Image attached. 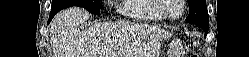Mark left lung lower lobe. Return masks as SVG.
<instances>
[{
    "label": "left lung lower lobe",
    "instance_id": "left-lung-lower-lobe-1",
    "mask_svg": "<svg viewBox=\"0 0 249 57\" xmlns=\"http://www.w3.org/2000/svg\"><path fill=\"white\" fill-rule=\"evenodd\" d=\"M197 25L202 27V29L205 31V36H206L209 30V25H205V24H197Z\"/></svg>",
    "mask_w": 249,
    "mask_h": 57
}]
</instances>
